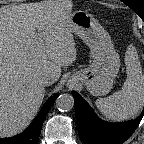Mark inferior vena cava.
I'll return each mask as SVG.
<instances>
[{"label":"inferior vena cava","mask_w":144,"mask_h":144,"mask_svg":"<svg viewBox=\"0 0 144 144\" xmlns=\"http://www.w3.org/2000/svg\"><path fill=\"white\" fill-rule=\"evenodd\" d=\"M54 82L55 80L53 79V77L47 75L41 79L40 84L45 87V86L53 84Z\"/></svg>","instance_id":"1"}]
</instances>
